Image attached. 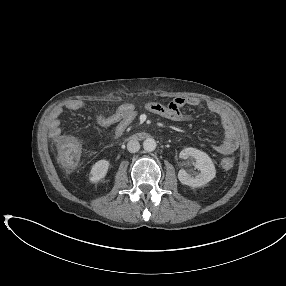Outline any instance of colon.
Here are the masks:
<instances>
[{
  "label": "colon",
  "mask_w": 286,
  "mask_h": 286,
  "mask_svg": "<svg viewBox=\"0 0 286 286\" xmlns=\"http://www.w3.org/2000/svg\"><path fill=\"white\" fill-rule=\"evenodd\" d=\"M55 142L60 163L66 168L75 167L81 154L79 142L68 136H58L56 137ZM233 163L234 161L232 158H226L222 161V166L225 169H230L232 168Z\"/></svg>",
  "instance_id": "colon-1"
}]
</instances>
